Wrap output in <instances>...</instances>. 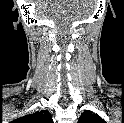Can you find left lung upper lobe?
Here are the masks:
<instances>
[{
	"instance_id": "5c2ea615",
	"label": "left lung upper lobe",
	"mask_w": 124,
	"mask_h": 123,
	"mask_svg": "<svg viewBox=\"0 0 124 123\" xmlns=\"http://www.w3.org/2000/svg\"><path fill=\"white\" fill-rule=\"evenodd\" d=\"M79 123H103L104 120L98 115L91 111H84L80 118Z\"/></svg>"
}]
</instances>
